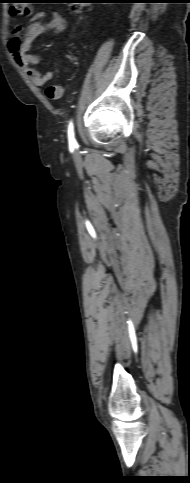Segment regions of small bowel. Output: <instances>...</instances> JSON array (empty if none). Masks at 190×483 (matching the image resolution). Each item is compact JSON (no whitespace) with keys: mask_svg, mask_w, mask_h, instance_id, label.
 <instances>
[{"mask_svg":"<svg viewBox=\"0 0 190 483\" xmlns=\"http://www.w3.org/2000/svg\"><path fill=\"white\" fill-rule=\"evenodd\" d=\"M50 16V20L44 19ZM66 22L57 12H40L34 15L29 25L23 31L20 27H15L12 36L8 41V51L16 64L20 66L30 81L40 87L47 85L52 78V72L42 73L33 66L42 63L41 57L30 53L33 41L46 31H53L56 34L64 32ZM63 93V86L52 84L47 86L46 95L50 99H58Z\"/></svg>","mask_w":190,"mask_h":483,"instance_id":"1","label":"small bowel"}]
</instances>
